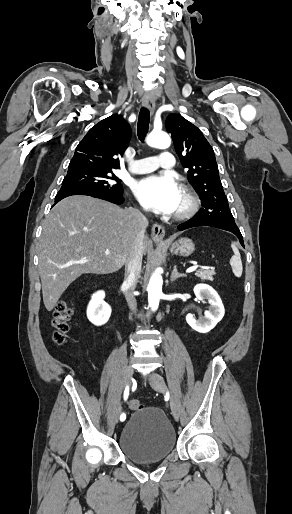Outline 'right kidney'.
I'll use <instances>...</instances> for the list:
<instances>
[{"mask_svg": "<svg viewBox=\"0 0 292 514\" xmlns=\"http://www.w3.org/2000/svg\"><path fill=\"white\" fill-rule=\"evenodd\" d=\"M105 292H96L93 294L92 300L89 302V306L87 308V318L92 322V324H96V326H102V324H106L111 316V306L104 302Z\"/></svg>", "mask_w": 292, "mask_h": 514, "instance_id": "ca27d5eb", "label": "right kidney"}]
</instances>
